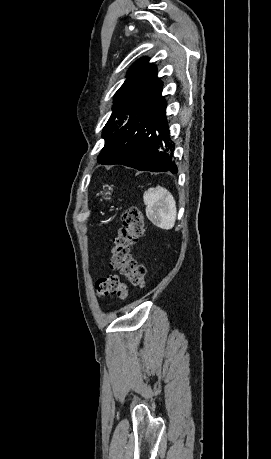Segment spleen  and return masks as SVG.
Returning a JSON list of instances; mask_svg holds the SVG:
<instances>
[{
  "instance_id": "obj_1",
  "label": "spleen",
  "mask_w": 271,
  "mask_h": 459,
  "mask_svg": "<svg viewBox=\"0 0 271 459\" xmlns=\"http://www.w3.org/2000/svg\"><path fill=\"white\" fill-rule=\"evenodd\" d=\"M144 204L146 206V216L154 226L162 229L173 228L176 222L177 208L176 202L165 188H149L144 192Z\"/></svg>"
}]
</instances>
